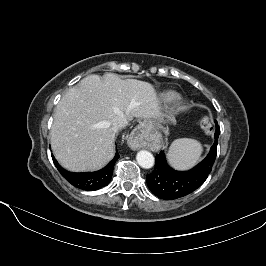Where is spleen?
Wrapping results in <instances>:
<instances>
[{
  "label": "spleen",
  "instance_id": "spleen-1",
  "mask_svg": "<svg viewBox=\"0 0 266 266\" xmlns=\"http://www.w3.org/2000/svg\"><path fill=\"white\" fill-rule=\"evenodd\" d=\"M202 151V145L197 140L177 139L169 148L168 158L174 167L188 169L199 161Z\"/></svg>",
  "mask_w": 266,
  "mask_h": 266
}]
</instances>
